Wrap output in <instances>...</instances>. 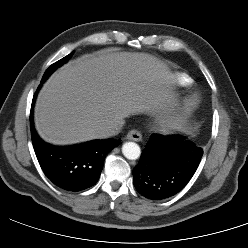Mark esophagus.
<instances>
[{
    "instance_id": "esophagus-1",
    "label": "esophagus",
    "mask_w": 248,
    "mask_h": 248,
    "mask_svg": "<svg viewBox=\"0 0 248 248\" xmlns=\"http://www.w3.org/2000/svg\"><path fill=\"white\" fill-rule=\"evenodd\" d=\"M126 139L127 140H132V141H136L139 142L142 140V135L139 131L137 130H131L128 132V134L126 135Z\"/></svg>"
}]
</instances>
